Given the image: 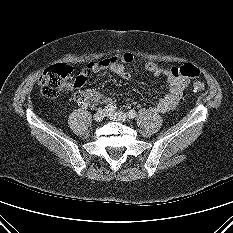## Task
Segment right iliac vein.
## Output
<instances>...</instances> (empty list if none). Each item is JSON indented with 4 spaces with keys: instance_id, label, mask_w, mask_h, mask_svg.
Wrapping results in <instances>:
<instances>
[{
    "instance_id": "63e3f726",
    "label": "right iliac vein",
    "mask_w": 233,
    "mask_h": 233,
    "mask_svg": "<svg viewBox=\"0 0 233 233\" xmlns=\"http://www.w3.org/2000/svg\"><path fill=\"white\" fill-rule=\"evenodd\" d=\"M105 115H106V112L104 110L102 109L98 110L93 116L94 121L101 122L104 119Z\"/></svg>"
}]
</instances>
